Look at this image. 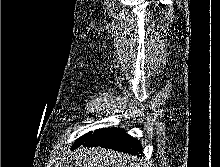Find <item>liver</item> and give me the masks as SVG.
Wrapping results in <instances>:
<instances>
[{
	"mask_svg": "<svg viewBox=\"0 0 220 167\" xmlns=\"http://www.w3.org/2000/svg\"><path fill=\"white\" fill-rule=\"evenodd\" d=\"M75 167H142L134 156L101 148H79Z\"/></svg>",
	"mask_w": 220,
	"mask_h": 167,
	"instance_id": "6515ba94",
	"label": "liver"
}]
</instances>
